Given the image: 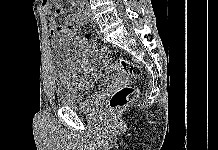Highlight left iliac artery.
I'll return each mask as SVG.
<instances>
[{"instance_id": "44dca946", "label": "left iliac artery", "mask_w": 218, "mask_h": 150, "mask_svg": "<svg viewBox=\"0 0 218 150\" xmlns=\"http://www.w3.org/2000/svg\"><path fill=\"white\" fill-rule=\"evenodd\" d=\"M84 1H85V0H82V2H81V8H82V10H83L84 4H85ZM80 17H81V18H84V17H85V14H84V13H81V14H80Z\"/></svg>"}]
</instances>
